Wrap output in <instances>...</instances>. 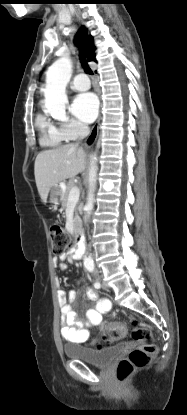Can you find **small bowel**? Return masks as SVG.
<instances>
[{"instance_id":"1","label":"small bowel","mask_w":187,"mask_h":415,"mask_svg":"<svg viewBox=\"0 0 187 415\" xmlns=\"http://www.w3.org/2000/svg\"><path fill=\"white\" fill-rule=\"evenodd\" d=\"M71 254H62L55 258V263L62 270L67 268L65 261L72 258ZM86 296L92 306L86 312V323L78 321L73 310L76 292L70 290L58 291V302L62 314L61 335L70 344H84L90 339V329L102 323L103 315L111 308V302L107 298H99L94 289L88 288Z\"/></svg>"}]
</instances>
